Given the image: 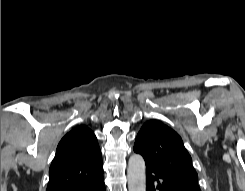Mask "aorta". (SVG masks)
Instances as JSON below:
<instances>
[{
    "label": "aorta",
    "instance_id": "aorta-1",
    "mask_svg": "<svg viewBox=\"0 0 245 191\" xmlns=\"http://www.w3.org/2000/svg\"><path fill=\"white\" fill-rule=\"evenodd\" d=\"M127 179L129 191H146L145 162L139 154L129 158Z\"/></svg>",
    "mask_w": 245,
    "mask_h": 191
}]
</instances>
